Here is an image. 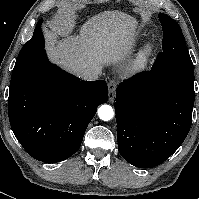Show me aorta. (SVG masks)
I'll return each mask as SVG.
<instances>
[{
  "mask_svg": "<svg viewBox=\"0 0 199 199\" xmlns=\"http://www.w3.org/2000/svg\"><path fill=\"white\" fill-rule=\"evenodd\" d=\"M98 116L103 121H109L114 117L113 108L110 105H101L98 109Z\"/></svg>",
  "mask_w": 199,
  "mask_h": 199,
  "instance_id": "1",
  "label": "aorta"
}]
</instances>
